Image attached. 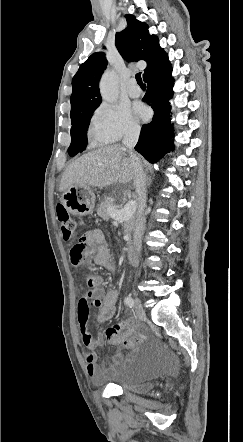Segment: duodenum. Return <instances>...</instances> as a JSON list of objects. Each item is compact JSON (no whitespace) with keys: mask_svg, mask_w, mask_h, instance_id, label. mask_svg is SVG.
<instances>
[{"mask_svg":"<svg viewBox=\"0 0 243 442\" xmlns=\"http://www.w3.org/2000/svg\"><path fill=\"white\" fill-rule=\"evenodd\" d=\"M127 258L130 264L135 265L138 263L136 252L133 248L129 247L127 249Z\"/></svg>","mask_w":243,"mask_h":442,"instance_id":"1","label":"duodenum"}]
</instances>
